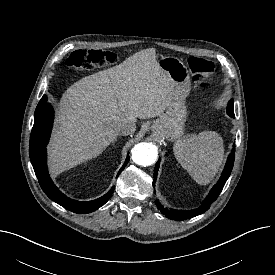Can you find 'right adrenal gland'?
Listing matches in <instances>:
<instances>
[{"instance_id": "2a0ac1e0", "label": "right adrenal gland", "mask_w": 275, "mask_h": 275, "mask_svg": "<svg viewBox=\"0 0 275 275\" xmlns=\"http://www.w3.org/2000/svg\"><path fill=\"white\" fill-rule=\"evenodd\" d=\"M115 141H117V139H115V140L113 141V143H115Z\"/></svg>"}]
</instances>
